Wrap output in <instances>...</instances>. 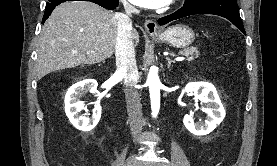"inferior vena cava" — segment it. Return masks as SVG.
Wrapping results in <instances>:
<instances>
[{
  "instance_id": "obj_1",
  "label": "inferior vena cava",
  "mask_w": 277,
  "mask_h": 166,
  "mask_svg": "<svg viewBox=\"0 0 277 166\" xmlns=\"http://www.w3.org/2000/svg\"><path fill=\"white\" fill-rule=\"evenodd\" d=\"M122 2L125 13H116L114 16L117 21L116 66L124 78V92L131 134L136 137L141 133L143 117L140 95L135 88L138 81V69L131 38L132 21L130 17L133 13H139V10L127 3L126 0H122Z\"/></svg>"
}]
</instances>
